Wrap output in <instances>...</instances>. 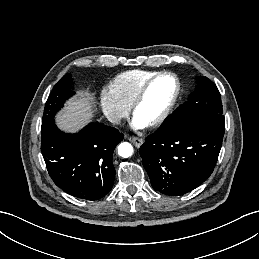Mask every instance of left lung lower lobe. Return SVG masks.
I'll return each mask as SVG.
<instances>
[{"label": "left lung lower lobe", "mask_w": 259, "mask_h": 259, "mask_svg": "<svg viewBox=\"0 0 259 259\" xmlns=\"http://www.w3.org/2000/svg\"><path fill=\"white\" fill-rule=\"evenodd\" d=\"M224 132L223 114L206 112L149 135L140 156L152 187L179 196L202 184L215 168Z\"/></svg>", "instance_id": "1"}]
</instances>
